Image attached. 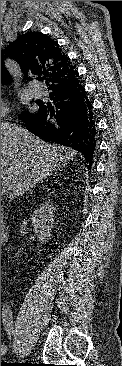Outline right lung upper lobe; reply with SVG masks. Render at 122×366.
I'll return each mask as SVG.
<instances>
[{
  "label": "right lung upper lobe",
  "mask_w": 122,
  "mask_h": 366,
  "mask_svg": "<svg viewBox=\"0 0 122 366\" xmlns=\"http://www.w3.org/2000/svg\"><path fill=\"white\" fill-rule=\"evenodd\" d=\"M1 56L15 59L21 66L25 80L43 76L49 87L67 83L78 73L71 65L70 59L62 54L59 44L40 32L26 33L18 37L1 51ZM1 81H11L2 58Z\"/></svg>",
  "instance_id": "obj_1"
}]
</instances>
